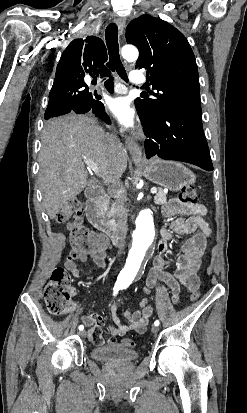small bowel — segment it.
Instances as JSON below:
<instances>
[{
	"label": "small bowel",
	"instance_id": "obj_1",
	"mask_svg": "<svg viewBox=\"0 0 247 413\" xmlns=\"http://www.w3.org/2000/svg\"><path fill=\"white\" fill-rule=\"evenodd\" d=\"M164 214L173 219L170 228H163L161 231V240L157 245V256L153 260V266L150 269L146 284L143 291L148 293L151 288L158 285L159 282L165 284L171 294L172 301L178 302L179 292L182 285H187L188 293H197L200 282L198 280H189L192 276H197L200 269L202 256L206 248V239L210 235V228L203 219L205 209L201 204H183L178 201H172L163 208ZM174 234L190 235L181 245L183 254L176 260L168 261L164 255L167 252L168 243L174 240ZM107 247V246H106ZM105 248L90 252L73 250L65 260V267L70 274L78 278L81 275L79 263L91 259L99 268L106 267ZM189 280V281H188ZM112 320L114 326L110 328V338L106 341L109 349L118 347L117 338L123 336L128 331L144 333L153 313L152 307L146 300L141 302L140 311H126L123 314L126 323H122L117 316V304L110 305ZM84 326L88 327V338L96 345H101L105 341L102 335H96L97 329L102 320L96 310H89L86 316L81 319Z\"/></svg>",
	"mask_w": 247,
	"mask_h": 413
}]
</instances>
